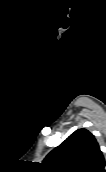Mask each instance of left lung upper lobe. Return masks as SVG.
Masks as SVG:
<instances>
[{"label":"left lung upper lobe","instance_id":"obj_1","mask_svg":"<svg viewBox=\"0 0 106 172\" xmlns=\"http://www.w3.org/2000/svg\"><path fill=\"white\" fill-rule=\"evenodd\" d=\"M45 172H105L104 156L95 137L78 129L42 162Z\"/></svg>","mask_w":106,"mask_h":172}]
</instances>
